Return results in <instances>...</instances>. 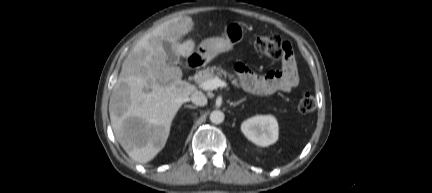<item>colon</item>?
Wrapping results in <instances>:
<instances>
[{
  "mask_svg": "<svg viewBox=\"0 0 432 193\" xmlns=\"http://www.w3.org/2000/svg\"><path fill=\"white\" fill-rule=\"evenodd\" d=\"M253 45L258 53L269 58L287 59L292 57L290 43L276 34L257 36L253 39ZM315 106L316 101L309 93L303 94L298 102V110L301 113L312 112Z\"/></svg>",
  "mask_w": 432,
  "mask_h": 193,
  "instance_id": "1",
  "label": "colon"
}]
</instances>
